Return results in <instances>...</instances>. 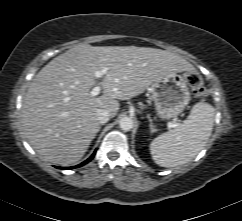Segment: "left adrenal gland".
<instances>
[{"label":"left adrenal gland","instance_id":"obj_1","mask_svg":"<svg viewBox=\"0 0 242 221\" xmlns=\"http://www.w3.org/2000/svg\"><path fill=\"white\" fill-rule=\"evenodd\" d=\"M147 118H148V120H149V122H150V124H149L150 131H151V133H153V132L156 131V129L154 128L155 126L153 125V123H152V119L150 118L149 115H147Z\"/></svg>","mask_w":242,"mask_h":221}]
</instances>
